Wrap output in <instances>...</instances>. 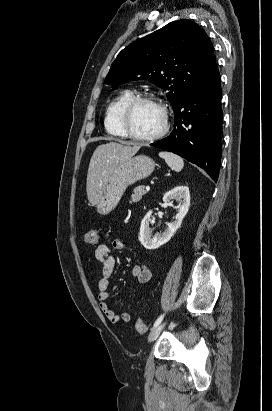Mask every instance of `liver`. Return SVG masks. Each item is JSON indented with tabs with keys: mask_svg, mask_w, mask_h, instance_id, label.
Wrapping results in <instances>:
<instances>
[{
	"mask_svg": "<svg viewBox=\"0 0 272 411\" xmlns=\"http://www.w3.org/2000/svg\"><path fill=\"white\" fill-rule=\"evenodd\" d=\"M142 145L125 146L116 142L99 145L91 157L86 191L89 202L98 204L103 189L112 172L122 162L133 157Z\"/></svg>",
	"mask_w": 272,
	"mask_h": 411,
	"instance_id": "liver-1",
	"label": "liver"
}]
</instances>
